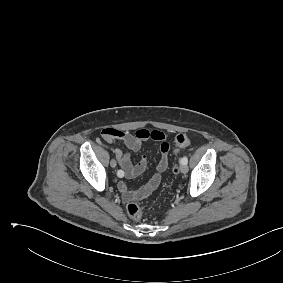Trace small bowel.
<instances>
[{
  "label": "small bowel",
  "instance_id": "1",
  "mask_svg": "<svg viewBox=\"0 0 283 283\" xmlns=\"http://www.w3.org/2000/svg\"><path fill=\"white\" fill-rule=\"evenodd\" d=\"M101 137L108 142L119 140L129 151L132 152L139 151L143 142L146 140L153 139L160 142L161 158L156 166V173L152 176L148 183L137 190H130L127 184L121 181L118 188L122 194L123 200L131 201L147 197L159 186L162 174L168 167V152L170 149L169 143L166 141V136L163 132L139 129L132 134L115 128H105L101 131ZM114 154L121 169H123L122 171L124 172L125 177L128 179L139 176L147 167V159L145 156L141 157L136 164H133L131 162L129 152H123L120 149H115Z\"/></svg>",
  "mask_w": 283,
  "mask_h": 283
}]
</instances>
